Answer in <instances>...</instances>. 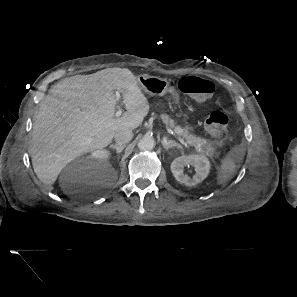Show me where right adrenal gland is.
<instances>
[{
    "label": "right adrenal gland",
    "mask_w": 297,
    "mask_h": 297,
    "mask_svg": "<svg viewBox=\"0 0 297 297\" xmlns=\"http://www.w3.org/2000/svg\"><path fill=\"white\" fill-rule=\"evenodd\" d=\"M110 148L115 149L117 153H120L125 148V145L119 146L117 144H112V145H110Z\"/></svg>",
    "instance_id": "right-adrenal-gland-1"
}]
</instances>
